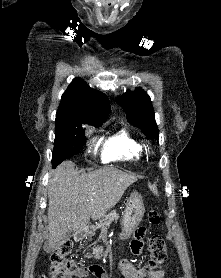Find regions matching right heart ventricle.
I'll list each match as a JSON object with an SVG mask.
<instances>
[{
  "label": "right heart ventricle",
  "mask_w": 221,
  "mask_h": 278,
  "mask_svg": "<svg viewBox=\"0 0 221 278\" xmlns=\"http://www.w3.org/2000/svg\"><path fill=\"white\" fill-rule=\"evenodd\" d=\"M142 156V144L127 130L110 135L103 144L101 158L105 163L113 161H138Z\"/></svg>",
  "instance_id": "e07e8e85"
}]
</instances>
